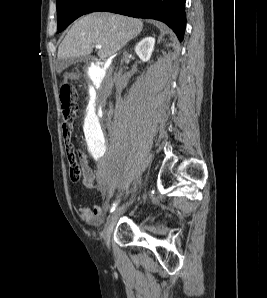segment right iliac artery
Wrapping results in <instances>:
<instances>
[{"label": "right iliac artery", "instance_id": "obj_1", "mask_svg": "<svg viewBox=\"0 0 267 298\" xmlns=\"http://www.w3.org/2000/svg\"><path fill=\"white\" fill-rule=\"evenodd\" d=\"M119 202H120V199L116 200V201L112 204L111 209H110V212H113V211L116 209V207L118 206Z\"/></svg>", "mask_w": 267, "mask_h": 298}]
</instances>
